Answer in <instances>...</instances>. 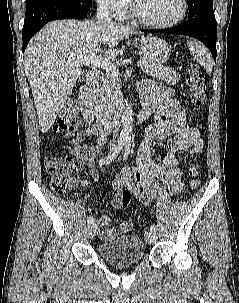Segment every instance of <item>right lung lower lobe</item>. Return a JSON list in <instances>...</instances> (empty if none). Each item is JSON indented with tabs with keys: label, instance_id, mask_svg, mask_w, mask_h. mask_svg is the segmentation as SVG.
Wrapping results in <instances>:
<instances>
[{
	"label": "right lung lower lobe",
	"instance_id": "1",
	"mask_svg": "<svg viewBox=\"0 0 239 303\" xmlns=\"http://www.w3.org/2000/svg\"><path fill=\"white\" fill-rule=\"evenodd\" d=\"M91 5L92 0H34L26 4L22 29L23 51L31 37L46 23L57 19H81Z\"/></svg>",
	"mask_w": 239,
	"mask_h": 303
}]
</instances>
